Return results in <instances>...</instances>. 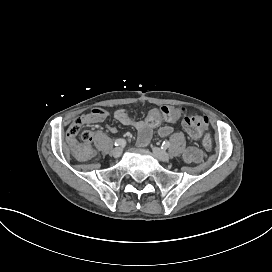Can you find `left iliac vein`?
I'll return each instance as SVG.
<instances>
[{"label":"left iliac vein","instance_id":"obj_1","mask_svg":"<svg viewBox=\"0 0 272 272\" xmlns=\"http://www.w3.org/2000/svg\"><path fill=\"white\" fill-rule=\"evenodd\" d=\"M153 154L160 161L168 162L170 160V155L167 152H165L164 150H162L161 148L154 147Z\"/></svg>","mask_w":272,"mask_h":272}]
</instances>
